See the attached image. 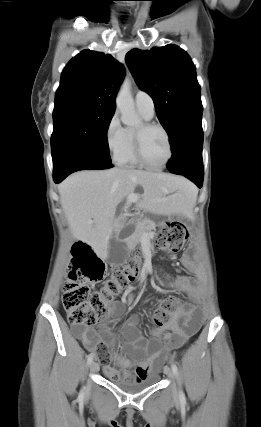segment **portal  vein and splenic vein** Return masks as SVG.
<instances>
[{"instance_id": "18ae733b", "label": "portal vein and splenic vein", "mask_w": 261, "mask_h": 427, "mask_svg": "<svg viewBox=\"0 0 261 427\" xmlns=\"http://www.w3.org/2000/svg\"><path fill=\"white\" fill-rule=\"evenodd\" d=\"M138 200H139V196L137 194L132 193L128 195L126 205L129 206L131 203H135ZM90 223H92V221H90Z\"/></svg>"}]
</instances>
